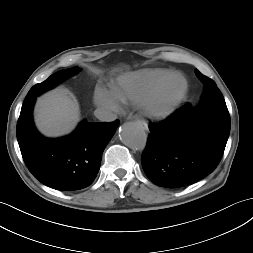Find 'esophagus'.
<instances>
[{
    "label": "esophagus",
    "mask_w": 253,
    "mask_h": 253,
    "mask_svg": "<svg viewBox=\"0 0 253 253\" xmlns=\"http://www.w3.org/2000/svg\"><path fill=\"white\" fill-rule=\"evenodd\" d=\"M139 124L142 126L144 130H148V124L142 120H138Z\"/></svg>",
    "instance_id": "obj_1"
}]
</instances>
